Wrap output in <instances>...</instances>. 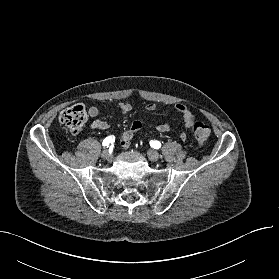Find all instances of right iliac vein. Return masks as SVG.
Listing matches in <instances>:
<instances>
[{
  "label": "right iliac vein",
  "instance_id": "1",
  "mask_svg": "<svg viewBox=\"0 0 279 279\" xmlns=\"http://www.w3.org/2000/svg\"><path fill=\"white\" fill-rule=\"evenodd\" d=\"M101 157L105 160H111L112 158V155L111 153L109 152V150H104L101 154Z\"/></svg>",
  "mask_w": 279,
  "mask_h": 279
}]
</instances>
